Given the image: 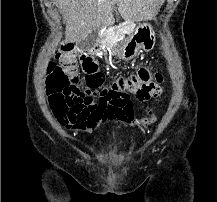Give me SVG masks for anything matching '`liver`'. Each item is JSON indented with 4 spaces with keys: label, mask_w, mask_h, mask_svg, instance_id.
Instances as JSON below:
<instances>
[{
    "label": "liver",
    "mask_w": 217,
    "mask_h": 202,
    "mask_svg": "<svg viewBox=\"0 0 217 202\" xmlns=\"http://www.w3.org/2000/svg\"><path fill=\"white\" fill-rule=\"evenodd\" d=\"M66 20L65 44H79L93 30L114 24V6L126 22L152 20L165 0H54Z\"/></svg>",
    "instance_id": "1"
}]
</instances>
